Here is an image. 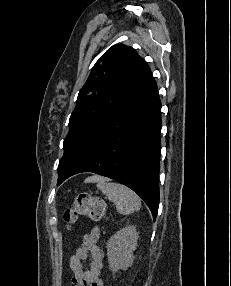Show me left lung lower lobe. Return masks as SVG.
<instances>
[{"label": "left lung lower lobe", "instance_id": "obj_1", "mask_svg": "<svg viewBox=\"0 0 231 286\" xmlns=\"http://www.w3.org/2000/svg\"><path fill=\"white\" fill-rule=\"evenodd\" d=\"M161 102L151 75L81 141L57 185L81 172L114 179L135 191L154 220L159 205Z\"/></svg>", "mask_w": 231, "mask_h": 286}]
</instances>
